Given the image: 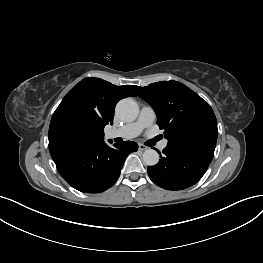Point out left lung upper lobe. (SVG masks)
Masks as SVG:
<instances>
[{
	"label": "left lung upper lobe",
	"mask_w": 263,
	"mask_h": 263,
	"mask_svg": "<svg viewBox=\"0 0 263 263\" xmlns=\"http://www.w3.org/2000/svg\"><path fill=\"white\" fill-rule=\"evenodd\" d=\"M155 110L168 147L213 158L218 130L212 108L198 94L177 81L147 87L133 86Z\"/></svg>",
	"instance_id": "left-lung-upper-lobe-1"
}]
</instances>
